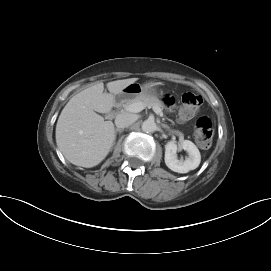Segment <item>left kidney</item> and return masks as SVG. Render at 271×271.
I'll return each instance as SVG.
<instances>
[{
  "label": "left kidney",
  "mask_w": 271,
  "mask_h": 271,
  "mask_svg": "<svg viewBox=\"0 0 271 271\" xmlns=\"http://www.w3.org/2000/svg\"><path fill=\"white\" fill-rule=\"evenodd\" d=\"M181 147L188 153L185 160H178L176 154L178 146L174 141H170L165 145V164L174 172L187 173L199 166L201 155L196 145L189 140H184Z\"/></svg>",
  "instance_id": "left-kidney-1"
}]
</instances>
